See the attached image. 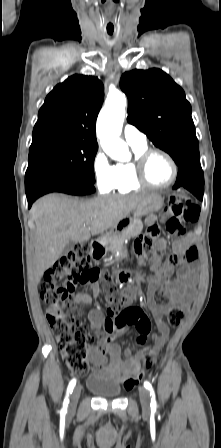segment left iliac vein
<instances>
[{
	"instance_id": "obj_1",
	"label": "left iliac vein",
	"mask_w": 221,
	"mask_h": 448,
	"mask_svg": "<svg viewBox=\"0 0 221 448\" xmlns=\"http://www.w3.org/2000/svg\"><path fill=\"white\" fill-rule=\"evenodd\" d=\"M139 396L142 409L144 412L150 411V394L149 391L144 387H139Z\"/></svg>"
}]
</instances>
